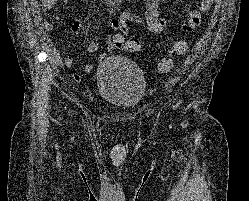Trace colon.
<instances>
[{
  "instance_id": "1",
  "label": "colon",
  "mask_w": 249,
  "mask_h": 201,
  "mask_svg": "<svg viewBox=\"0 0 249 201\" xmlns=\"http://www.w3.org/2000/svg\"><path fill=\"white\" fill-rule=\"evenodd\" d=\"M106 47L113 50L123 48L131 53H138L141 50V43L135 39H123L114 38L111 41L106 42ZM188 46L183 40L177 41L173 44L171 52L168 57L161 59L157 63V71L160 73H167L173 67L172 57L182 55L186 52Z\"/></svg>"
}]
</instances>
